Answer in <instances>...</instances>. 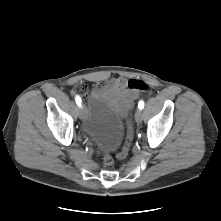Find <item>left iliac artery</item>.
<instances>
[{"mask_svg": "<svg viewBox=\"0 0 221 221\" xmlns=\"http://www.w3.org/2000/svg\"><path fill=\"white\" fill-rule=\"evenodd\" d=\"M138 108H139V109H143V108H144V102H143V101H140V102L138 103Z\"/></svg>", "mask_w": 221, "mask_h": 221, "instance_id": "left-iliac-artery-1", "label": "left iliac artery"}]
</instances>
